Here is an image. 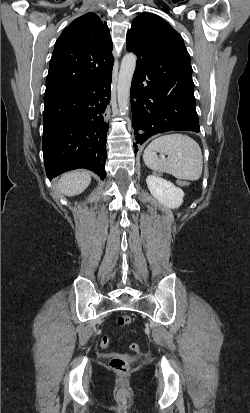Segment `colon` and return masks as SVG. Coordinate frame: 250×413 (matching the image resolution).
Masks as SVG:
<instances>
[{
	"mask_svg": "<svg viewBox=\"0 0 250 413\" xmlns=\"http://www.w3.org/2000/svg\"><path fill=\"white\" fill-rule=\"evenodd\" d=\"M151 175L153 177H160L163 175V170L160 168H153L151 170ZM189 184L190 181L188 178H177L175 180V185L177 187H188ZM117 323L120 326L130 325L132 323V317L129 315H121L117 318ZM99 342L102 349L105 350L109 348V338L107 336L101 338ZM129 348L135 352H139L141 350L139 344L137 343H131ZM109 367L117 374L126 375L129 372V360L124 356L113 357L109 361Z\"/></svg>",
	"mask_w": 250,
	"mask_h": 413,
	"instance_id": "5ec220e1",
	"label": "colon"
}]
</instances>
